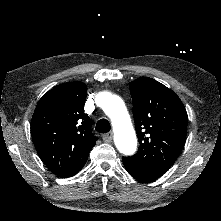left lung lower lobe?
I'll return each mask as SVG.
<instances>
[{
	"label": "left lung lower lobe",
	"instance_id": "obj_1",
	"mask_svg": "<svg viewBox=\"0 0 221 221\" xmlns=\"http://www.w3.org/2000/svg\"><path fill=\"white\" fill-rule=\"evenodd\" d=\"M122 161L124 163V166L128 173L133 176L134 178L143 181V182H151L155 180L156 178L149 176L148 174L141 171L139 168L131 165L124 157L122 158Z\"/></svg>",
	"mask_w": 221,
	"mask_h": 221
}]
</instances>
